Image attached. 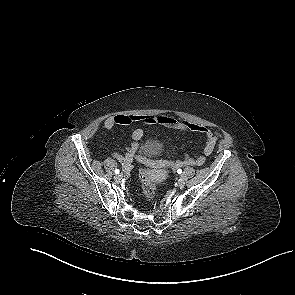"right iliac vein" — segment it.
Listing matches in <instances>:
<instances>
[{
	"instance_id": "right-iliac-vein-1",
	"label": "right iliac vein",
	"mask_w": 295,
	"mask_h": 295,
	"mask_svg": "<svg viewBox=\"0 0 295 295\" xmlns=\"http://www.w3.org/2000/svg\"><path fill=\"white\" fill-rule=\"evenodd\" d=\"M123 175L122 174H118L115 176V180L116 181H120L122 179Z\"/></svg>"
}]
</instances>
